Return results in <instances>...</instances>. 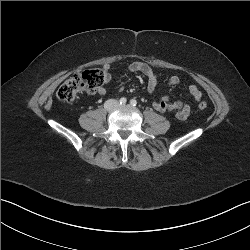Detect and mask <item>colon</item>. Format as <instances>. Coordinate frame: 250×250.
I'll return each instance as SVG.
<instances>
[{
  "label": "colon",
  "mask_w": 250,
  "mask_h": 250,
  "mask_svg": "<svg viewBox=\"0 0 250 250\" xmlns=\"http://www.w3.org/2000/svg\"><path fill=\"white\" fill-rule=\"evenodd\" d=\"M104 84V74L100 70H82L72 75L57 90V97L64 102H72L81 93H94ZM200 110L207 108L206 102L198 104Z\"/></svg>",
  "instance_id": "colon-1"
}]
</instances>
